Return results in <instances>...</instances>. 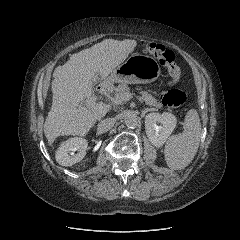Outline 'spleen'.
I'll return each instance as SVG.
<instances>
[{
	"mask_svg": "<svg viewBox=\"0 0 240 240\" xmlns=\"http://www.w3.org/2000/svg\"><path fill=\"white\" fill-rule=\"evenodd\" d=\"M181 134L169 137L164 154L169 168L181 170L194 159L200 144L201 123L196 110L191 109L185 116Z\"/></svg>",
	"mask_w": 240,
	"mask_h": 240,
	"instance_id": "spleen-1",
	"label": "spleen"
}]
</instances>
